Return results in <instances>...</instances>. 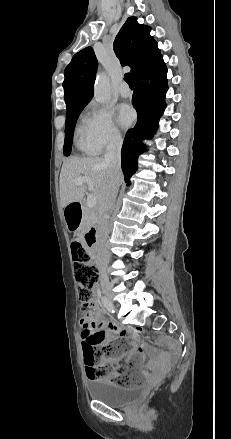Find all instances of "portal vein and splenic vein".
I'll list each match as a JSON object with an SVG mask.
<instances>
[{"label": "portal vein and splenic vein", "instance_id": "1", "mask_svg": "<svg viewBox=\"0 0 231 439\" xmlns=\"http://www.w3.org/2000/svg\"><path fill=\"white\" fill-rule=\"evenodd\" d=\"M74 183H75L76 185H81V184H83V183H87V184H88V188H89V190H90V191L92 190V183H91V180H90L89 178H87V177H84V176L77 177V178L74 180ZM96 203H97V198H96V196H94V195H92V194H89V195L87 196V206H88V208H94V207L96 206Z\"/></svg>", "mask_w": 231, "mask_h": 439}]
</instances>
